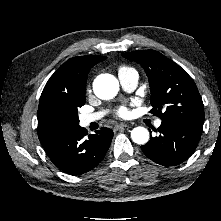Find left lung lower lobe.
Masks as SVG:
<instances>
[{
  "label": "left lung lower lobe",
  "mask_w": 221,
  "mask_h": 221,
  "mask_svg": "<svg viewBox=\"0 0 221 221\" xmlns=\"http://www.w3.org/2000/svg\"><path fill=\"white\" fill-rule=\"evenodd\" d=\"M203 122L190 120L162 121L158 137L141 146L143 153L152 161L173 166L184 162L194 152L200 140ZM156 131V130H155Z\"/></svg>",
  "instance_id": "left-lung-lower-lobe-1"
}]
</instances>
